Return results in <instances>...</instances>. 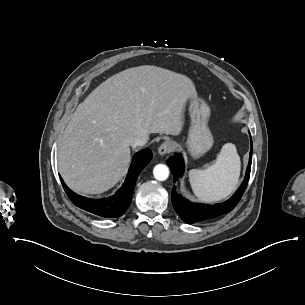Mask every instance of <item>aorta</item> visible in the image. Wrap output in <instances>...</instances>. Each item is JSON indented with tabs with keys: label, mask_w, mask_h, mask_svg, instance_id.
Listing matches in <instances>:
<instances>
[{
	"label": "aorta",
	"mask_w": 305,
	"mask_h": 305,
	"mask_svg": "<svg viewBox=\"0 0 305 305\" xmlns=\"http://www.w3.org/2000/svg\"><path fill=\"white\" fill-rule=\"evenodd\" d=\"M155 179L165 181L169 176V169L164 164H158L153 169Z\"/></svg>",
	"instance_id": "762f6f07"
}]
</instances>
